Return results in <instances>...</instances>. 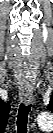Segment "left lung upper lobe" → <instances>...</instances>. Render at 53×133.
Here are the masks:
<instances>
[{
  "label": "left lung upper lobe",
  "instance_id": "left-lung-upper-lobe-1",
  "mask_svg": "<svg viewBox=\"0 0 53 133\" xmlns=\"http://www.w3.org/2000/svg\"><path fill=\"white\" fill-rule=\"evenodd\" d=\"M47 108H48L50 111L53 112V103H52V101H51V103L47 106Z\"/></svg>",
  "mask_w": 53,
  "mask_h": 133
}]
</instances>
